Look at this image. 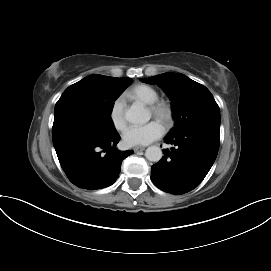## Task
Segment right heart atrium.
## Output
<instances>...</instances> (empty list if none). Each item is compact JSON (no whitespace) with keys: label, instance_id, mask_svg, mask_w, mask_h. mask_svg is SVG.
<instances>
[{"label":"right heart atrium","instance_id":"d8ad5b80","mask_svg":"<svg viewBox=\"0 0 271 271\" xmlns=\"http://www.w3.org/2000/svg\"><path fill=\"white\" fill-rule=\"evenodd\" d=\"M125 100L123 96L117 97L110 109V120L117 130H122L126 124L124 116Z\"/></svg>","mask_w":271,"mask_h":271}]
</instances>
